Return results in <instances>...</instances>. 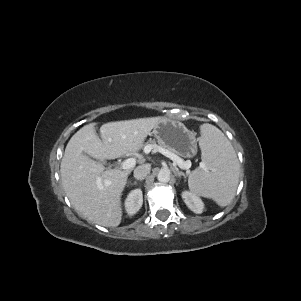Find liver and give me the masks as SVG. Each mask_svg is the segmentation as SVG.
<instances>
[{"instance_id":"obj_1","label":"liver","mask_w":301,"mask_h":301,"mask_svg":"<svg viewBox=\"0 0 301 301\" xmlns=\"http://www.w3.org/2000/svg\"><path fill=\"white\" fill-rule=\"evenodd\" d=\"M162 117L140 118L105 123L102 140L89 124L69 140L61 160L63 189L74 208L89 221L105 227L121 223V194L131 169H107L100 161L138 152ZM90 156V157H89Z\"/></svg>"}]
</instances>
